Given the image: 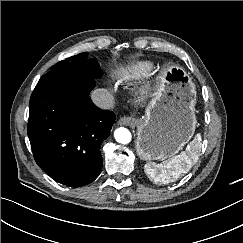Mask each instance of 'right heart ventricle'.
I'll list each match as a JSON object with an SVG mask.
<instances>
[{
  "mask_svg": "<svg viewBox=\"0 0 243 243\" xmlns=\"http://www.w3.org/2000/svg\"><path fill=\"white\" fill-rule=\"evenodd\" d=\"M151 63L150 62H142L127 69L122 70L119 73L120 81H131L135 79H139L146 75L151 70Z\"/></svg>",
  "mask_w": 243,
  "mask_h": 243,
  "instance_id": "1",
  "label": "right heart ventricle"
}]
</instances>
